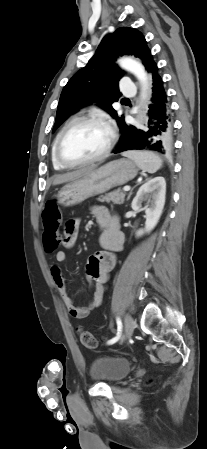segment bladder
Wrapping results in <instances>:
<instances>
[{
  "label": "bladder",
  "instance_id": "obj_1",
  "mask_svg": "<svg viewBox=\"0 0 207 449\" xmlns=\"http://www.w3.org/2000/svg\"><path fill=\"white\" fill-rule=\"evenodd\" d=\"M131 371V362L124 358L101 356L90 365L89 374L95 381L115 383L126 377Z\"/></svg>",
  "mask_w": 207,
  "mask_h": 449
}]
</instances>
